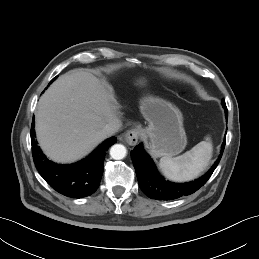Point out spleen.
Segmentation results:
<instances>
[{"mask_svg":"<svg viewBox=\"0 0 259 259\" xmlns=\"http://www.w3.org/2000/svg\"><path fill=\"white\" fill-rule=\"evenodd\" d=\"M213 145L210 137L199 142L190 151L177 156H164L160 159V169L172 181L184 182L195 179L208 166L212 157Z\"/></svg>","mask_w":259,"mask_h":259,"instance_id":"3e777b00","label":"spleen"}]
</instances>
